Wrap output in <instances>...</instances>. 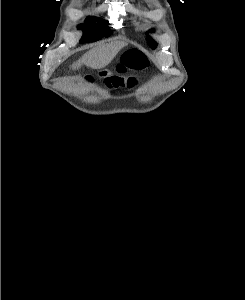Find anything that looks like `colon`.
I'll use <instances>...</instances> for the list:
<instances>
[{
	"mask_svg": "<svg viewBox=\"0 0 245 300\" xmlns=\"http://www.w3.org/2000/svg\"><path fill=\"white\" fill-rule=\"evenodd\" d=\"M148 64L145 54L140 51H131L123 57L121 64L117 67V71L119 73H125L129 70L138 71L146 68ZM86 81L91 82L92 77L88 76Z\"/></svg>",
	"mask_w": 245,
	"mask_h": 300,
	"instance_id": "colon-1",
	"label": "colon"
}]
</instances>
